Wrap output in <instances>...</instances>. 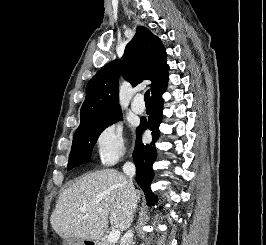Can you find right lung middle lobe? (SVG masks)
<instances>
[{
	"label": "right lung middle lobe",
	"mask_w": 266,
	"mask_h": 245,
	"mask_svg": "<svg viewBox=\"0 0 266 245\" xmlns=\"http://www.w3.org/2000/svg\"><path fill=\"white\" fill-rule=\"evenodd\" d=\"M121 111L101 116L88 121L80 122L73 138L69 156L68 170L87 162L101 132L109 125L121 119Z\"/></svg>",
	"instance_id": "dd1d6c3e"
}]
</instances>
